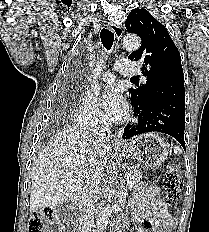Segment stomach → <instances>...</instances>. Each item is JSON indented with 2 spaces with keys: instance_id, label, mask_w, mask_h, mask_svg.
I'll list each match as a JSON object with an SVG mask.
<instances>
[{
  "instance_id": "1",
  "label": "stomach",
  "mask_w": 209,
  "mask_h": 232,
  "mask_svg": "<svg viewBox=\"0 0 209 232\" xmlns=\"http://www.w3.org/2000/svg\"><path fill=\"white\" fill-rule=\"evenodd\" d=\"M124 156L150 167L161 166L168 156L169 145L156 134L140 135L119 148Z\"/></svg>"
}]
</instances>
